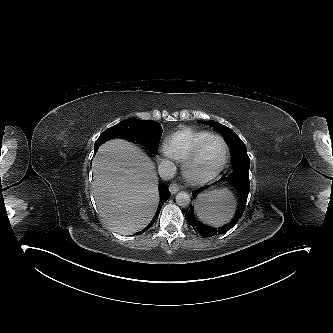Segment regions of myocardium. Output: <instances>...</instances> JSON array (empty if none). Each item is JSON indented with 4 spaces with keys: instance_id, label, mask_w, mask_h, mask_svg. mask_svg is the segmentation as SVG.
I'll list each match as a JSON object with an SVG mask.
<instances>
[{
    "instance_id": "myocardium-1",
    "label": "myocardium",
    "mask_w": 333,
    "mask_h": 333,
    "mask_svg": "<svg viewBox=\"0 0 333 333\" xmlns=\"http://www.w3.org/2000/svg\"><path fill=\"white\" fill-rule=\"evenodd\" d=\"M212 139H218L223 143V145H224L223 159H222L220 165L213 172L206 174V175H198V174L194 173L192 170L193 163L199 157L204 146ZM228 158H229V146H228L226 140L219 135L210 134L209 136H207L206 138L201 140L195 146V148L192 150V152L188 155V157L184 160V162H183L184 176L186 177V179L188 181H190L191 183H194V184H205L207 182H210V181L214 180L223 171V169L225 168V166L227 164Z\"/></svg>"
}]
</instances>
